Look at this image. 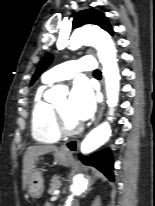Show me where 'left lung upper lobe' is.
<instances>
[{"label": "left lung upper lobe", "mask_w": 155, "mask_h": 206, "mask_svg": "<svg viewBox=\"0 0 155 206\" xmlns=\"http://www.w3.org/2000/svg\"><path fill=\"white\" fill-rule=\"evenodd\" d=\"M84 24H95L106 30L109 34H113L112 27L110 26L107 18L100 11L95 9H88L78 13L73 20V28H78ZM52 61V55L47 54L39 63L35 74L31 80L33 84L43 71L49 66Z\"/></svg>", "instance_id": "left-lung-upper-lobe-1"}]
</instances>
